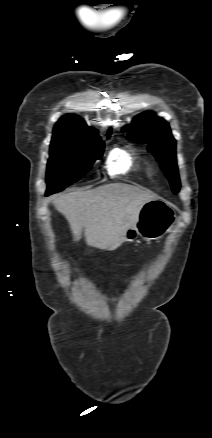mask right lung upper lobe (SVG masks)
Here are the masks:
<instances>
[{"mask_svg":"<svg viewBox=\"0 0 212 438\" xmlns=\"http://www.w3.org/2000/svg\"><path fill=\"white\" fill-rule=\"evenodd\" d=\"M53 137L72 138V139H90L99 137L94 128L88 127L86 123L78 116L66 115L61 118L53 130ZM111 130L107 136H110Z\"/></svg>","mask_w":212,"mask_h":438,"instance_id":"obj_1","label":"right lung upper lobe"}]
</instances>
